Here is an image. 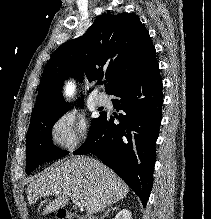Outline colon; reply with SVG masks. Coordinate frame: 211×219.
<instances>
[{
    "instance_id": "obj_1",
    "label": "colon",
    "mask_w": 211,
    "mask_h": 219,
    "mask_svg": "<svg viewBox=\"0 0 211 219\" xmlns=\"http://www.w3.org/2000/svg\"><path fill=\"white\" fill-rule=\"evenodd\" d=\"M57 219H76V216H74V214L69 213L65 210H59L57 213Z\"/></svg>"
}]
</instances>
